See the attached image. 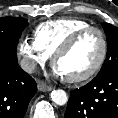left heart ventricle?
I'll return each mask as SVG.
<instances>
[{
	"label": "left heart ventricle",
	"mask_w": 118,
	"mask_h": 118,
	"mask_svg": "<svg viewBox=\"0 0 118 118\" xmlns=\"http://www.w3.org/2000/svg\"><path fill=\"white\" fill-rule=\"evenodd\" d=\"M101 49L102 45L98 34L88 33L70 51L58 58L55 66L63 77L82 75L95 65Z\"/></svg>",
	"instance_id": "obj_1"
}]
</instances>
